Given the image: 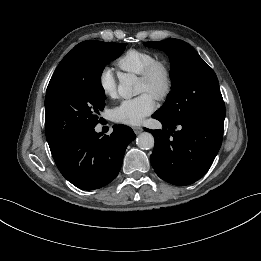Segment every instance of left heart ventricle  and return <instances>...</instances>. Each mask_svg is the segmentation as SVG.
<instances>
[{
    "label": "left heart ventricle",
    "instance_id": "b2bd125f",
    "mask_svg": "<svg viewBox=\"0 0 261 261\" xmlns=\"http://www.w3.org/2000/svg\"><path fill=\"white\" fill-rule=\"evenodd\" d=\"M161 81H162L161 75H159L157 77L155 84L153 86H150V85L146 84L145 82H143L142 80H139L138 93H149V94L153 95L154 88L160 86Z\"/></svg>",
    "mask_w": 261,
    "mask_h": 261
}]
</instances>
